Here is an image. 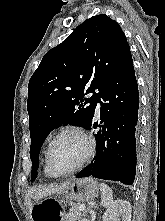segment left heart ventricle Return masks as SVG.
I'll use <instances>...</instances> for the list:
<instances>
[{
    "mask_svg": "<svg viewBox=\"0 0 165 221\" xmlns=\"http://www.w3.org/2000/svg\"><path fill=\"white\" fill-rule=\"evenodd\" d=\"M86 143L76 133H67L59 137L50 150V161L57 171L74 167L84 156Z\"/></svg>",
    "mask_w": 165,
    "mask_h": 221,
    "instance_id": "b2bd125f",
    "label": "left heart ventricle"
}]
</instances>
